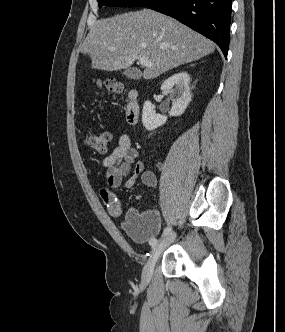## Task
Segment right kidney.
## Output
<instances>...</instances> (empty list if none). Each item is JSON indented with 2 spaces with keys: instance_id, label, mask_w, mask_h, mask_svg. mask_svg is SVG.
<instances>
[{
  "instance_id": "right-kidney-1",
  "label": "right kidney",
  "mask_w": 285,
  "mask_h": 332,
  "mask_svg": "<svg viewBox=\"0 0 285 332\" xmlns=\"http://www.w3.org/2000/svg\"><path fill=\"white\" fill-rule=\"evenodd\" d=\"M189 82V74L180 72L172 75L162 83V91L171 95H178V98L173 100V105L169 112L170 116H181L185 112L192 97ZM154 109L155 106L150 101H146L143 105L142 123L147 130H154L165 124L167 120V116L156 114Z\"/></svg>"
}]
</instances>
